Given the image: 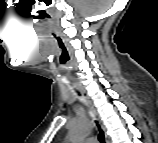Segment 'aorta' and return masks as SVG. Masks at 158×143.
I'll return each instance as SVG.
<instances>
[{
  "instance_id": "1",
  "label": "aorta",
  "mask_w": 158,
  "mask_h": 143,
  "mask_svg": "<svg viewBox=\"0 0 158 143\" xmlns=\"http://www.w3.org/2000/svg\"><path fill=\"white\" fill-rule=\"evenodd\" d=\"M91 131V123L88 120H79L77 121L70 131V140L71 141H81Z\"/></svg>"
}]
</instances>
